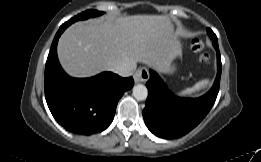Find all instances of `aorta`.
<instances>
[{
    "instance_id": "aorta-1",
    "label": "aorta",
    "mask_w": 261,
    "mask_h": 162,
    "mask_svg": "<svg viewBox=\"0 0 261 162\" xmlns=\"http://www.w3.org/2000/svg\"><path fill=\"white\" fill-rule=\"evenodd\" d=\"M147 95H148V90L146 86L142 84H138L133 87V96L135 97V99L142 101L147 98Z\"/></svg>"
}]
</instances>
